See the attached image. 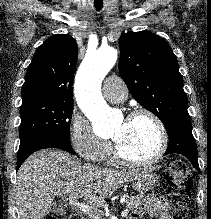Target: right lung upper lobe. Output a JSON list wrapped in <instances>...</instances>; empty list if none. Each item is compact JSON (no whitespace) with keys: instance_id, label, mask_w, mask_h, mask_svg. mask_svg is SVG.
<instances>
[{"instance_id":"obj_1","label":"right lung upper lobe","mask_w":211,"mask_h":219,"mask_svg":"<svg viewBox=\"0 0 211 219\" xmlns=\"http://www.w3.org/2000/svg\"><path fill=\"white\" fill-rule=\"evenodd\" d=\"M77 44L67 34L49 37L36 50L21 89L22 100L50 98L73 101L72 82Z\"/></svg>"}]
</instances>
